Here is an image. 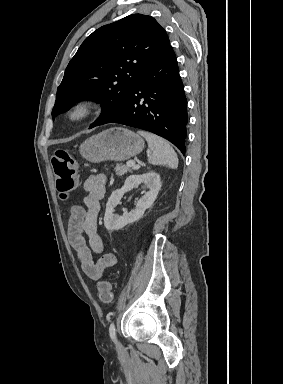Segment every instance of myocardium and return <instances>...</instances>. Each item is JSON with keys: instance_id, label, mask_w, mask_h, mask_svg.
Wrapping results in <instances>:
<instances>
[{"instance_id": "myocardium-1", "label": "myocardium", "mask_w": 283, "mask_h": 384, "mask_svg": "<svg viewBox=\"0 0 283 384\" xmlns=\"http://www.w3.org/2000/svg\"><path fill=\"white\" fill-rule=\"evenodd\" d=\"M94 112V104L91 100L81 99L66 110L65 119L70 124H81L88 120Z\"/></svg>"}]
</instances>
